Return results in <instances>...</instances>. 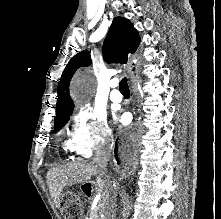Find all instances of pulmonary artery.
<instances>
[{
	"label": "pulmonary artery",
	"mask_w": 221,
	"mask_h": 219,
	"mask_svg": "<svg viewBox=\"0 0 221 219\" xmlns=\"http://www.w3.org/2000/svg\"><path fill=\"white\" fill-rule=\"evenodd\" d=\"M110 86L112 88L110 92V99L114 103H120L123 100L122 94L118 91V81L117 80H112L110 83Z\"/></svg>",
	"instance_id": "e3ab8cb5"
}]
</instances>
